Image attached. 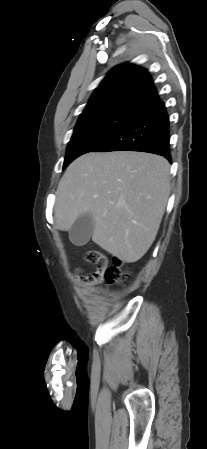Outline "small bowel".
Returning a JSON list of instances; mask_svg holds the SVG:
<instances>
[{
    "mask_svg": "<svg viewBox=\"0 0 207 449\" xmlns=\"http://www.w3.org/2000/svg\"><path fill=\"white\" fill-rule=\"evenodd\" d=\"M77 279L81 280V281H84V279L82 277H80V276H77ZM97 280H99V279H96V280H93V281H97Z\"/></svg>",
    "mask_w": 207,
    "mask_h": 449,
    "instance_id": "1",
    "label": "small bowel"
}]
</instances>
